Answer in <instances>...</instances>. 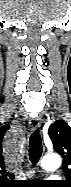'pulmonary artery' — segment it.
<instances>
[{"instance_id": "1", "label": "pulmonary artery", "mask_w": 71, "mask_h": 187, "mask_svg": "<svg viewBox=\"0 0 71 187\" xmlns=\"http://www.w3.org/2000/svg\"><path fill=\"white\" fill-rule=\"evenodd\" d=\"M50 179H57L58 177L56 175H52L49 177Z\"/></svg>"}]
</instances>
